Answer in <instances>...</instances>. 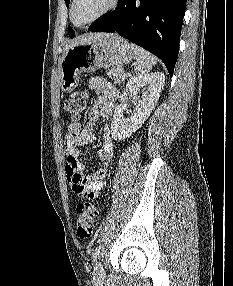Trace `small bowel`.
Wrapping results in <instances>:
<instances>
[{
    "mask_svg": "<svg viewBox=\"0 0 233 286\" xmlns=\"http://www.w3.org/2000/svg\"><path fill=\"white\" fill-rule=\"evenodd\" d=\"M89 88L98 95L89 112L88 122L83 125L73 122L68 126L64 149L66 153L65 171L72 192L82 198H97L106 185V176L113 158V141L105 128L102 145L98 151L99 166L92 174H85V165L80 156V147L95 140L94 124L110 117L118 97L116 88L100 77L89 81Z\"/></svg>",
    "mask_w": 233,
    "mask_h": 286,
    "instance_id": "small-bowel-1",
    "label": "small bowel"
}]
</instances>
